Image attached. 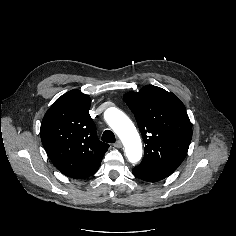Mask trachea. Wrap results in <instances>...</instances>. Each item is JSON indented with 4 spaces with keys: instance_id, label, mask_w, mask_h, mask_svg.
<instances>
[{
    "instance_id": "obj_1",
    "label": "trachea",
    "mask_w": 236,
    "mask_h": 236,
    "mask_svg": "<svg viewBox=\"0 0 236 236\" xmlns=\"http://www.w3.org/2000/svg\"><path fill=\"white\" fill-rule=\"evenodd\" d=\"M101 139L107 143H114L116 141L114 133L110 130H105Z\"/></svg>"
}]
</instances>
